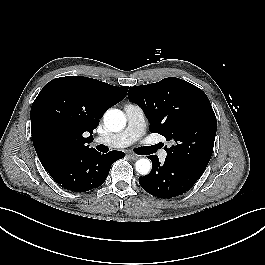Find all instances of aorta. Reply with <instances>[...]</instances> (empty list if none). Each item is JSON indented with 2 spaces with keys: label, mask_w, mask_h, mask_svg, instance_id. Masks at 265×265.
<instances>
[{
  "label": "aorta",
  "mask_w": 265,
  "mask_h": 265,
  "mask_svg": "<svg viewBox=\"0 0 265 265\" xmlns=\"http://www.w3.org/2000/svg\"><path fill=\"white\" fill-rule=\"evenodd\" d=\"M104 124L112 132H119L126 126L125 114L119 109L108 110L104 114ZM136 171L141 175H147L151 170V162L141 158L135 163Z\"/></svg>",
  "instance_id": "1"
}]
</instances>
